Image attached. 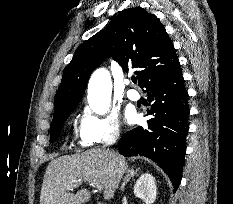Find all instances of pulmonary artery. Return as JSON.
I'll use <instances>...</instances> for the list:
<instances>
[{
    "label": "pulmonary artery",
    "mask_w": 233,
    "mask_h": 204,
    "mask_svg": "<svg viewBox=\"0 0 233 204\" xmlns=\"http://www.w3.org/2000/svg\"><path fill=\"white\" fill-rule=\"evenodd\" d=\"M126 94L127 97L132 101H138L140 99V94L135 89H129Z\"/></svg>",
    "instance_id": "obj_1"
}]
</instances>
